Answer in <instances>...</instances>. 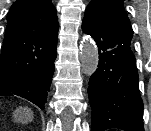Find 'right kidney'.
Wrapping results in <instances>:
<instances>
[{"instance_id":"obj_1","label":"right kidney","mask_w":151,"mask_h":131,"mask_svg":"<svg viewBox=\"0 0 151 131\" xmlns=\"http://www.w3.org/2000/svg\"><path fill=\"white\" fill-rule=\"evenodd\" d=\"M27 110H28V109H27ZM27 110L24 111L26 121H27V118H26V111H27Z\"/></svg>"}]
</instances>
